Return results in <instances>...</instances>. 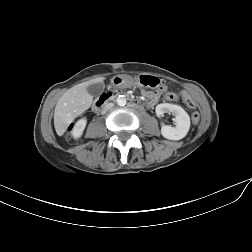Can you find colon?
I'll list each match as a JSON object with an SVG mask.
<instances>
[{"instance_id":"obj_1","label":"colon","mask_w":252,"mask_h":252,"mask_svg":"<svg viewBox=\"0 0 252 252\" xmlns=\"http://www.w3.org/2000/svg\"><path fill=\"white\" fill-rule=\"evenodd\" d=\"M143 84L148 85V86H155L156 82H154L152 78L150 77H145ZM165 97L166 99L171 100V101L178 99V96L172 92L166 93ZM182 100H183V103L186 105V107L193 110L195 109V103L191 98L183 97ZM191 117H192L193 123L197 124L200 119L199 113L197 111H193Z\"/></svg>"}]
</instances>
